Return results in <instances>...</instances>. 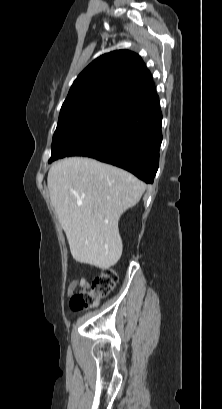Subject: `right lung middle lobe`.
Instances as JSON below:
<instances>
[{
	"label": "right lung middle lobe",
	"mask_w": 222,
	"mask_h": 409,
	"mask_svg": "<svg viewBox=\"0 0 222 409\" xmlns=\"http://www.w3.org/2000/svg\"><path fill=\"white\" fill-rule=\"evenodd\" d=\"M123 108L120 104L103 103L61 110L48 162L93 152L103 141L114 117Z\"/></svg>",
	"instance_id": "right-lung-middle-lobe-1"
}]
</instances>
